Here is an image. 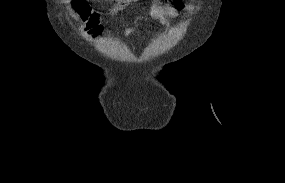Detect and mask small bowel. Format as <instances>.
<instances>
[{"mask_svg":"<svg viewBox=\"0 0 285 183\" xmlns=\"http://www.w3.org/2000/svg\"><path fill=\"white\" fill-rule=\"evenodd\" d=\"M137 1V0H115V3L110 9V15L115 16L121 11H123L128 5V3ZM184 8V4L181 3V6H177L176 4L172 5H164L157 0H152V6L145 17L144 21H152L156 20L161 22L164 25L169 24V19L178 18L180 16L179 10ZM142 22H137L133 25L126 27L123 31L124 36H130L133 34Z\"/></svg>","mask_w":285,"mask_h":183,"instance_id":"obj_1","label":"small bowel"}]
</instances>
